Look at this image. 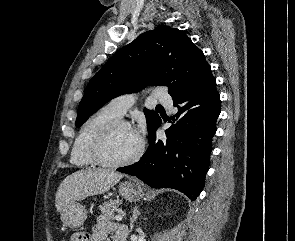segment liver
<instances>
[{
	"mask_svg": "<svg viewBox=\"0 0 295 241\" xmlns=\"http://www.w3.org/2000/svg\"><path fill=\"white\" fill-rule=\"evenodd\" d=\"M122 177L121 173L107 169H86L72 173L62 181L57 190V211L61 212L69 204L88 196L109 191Z\"/></svg>",
	"mask_w": 295,
	"mask_h": 241,
	"instance_id": "1",
	"label": "liver"
}]
</instances>
